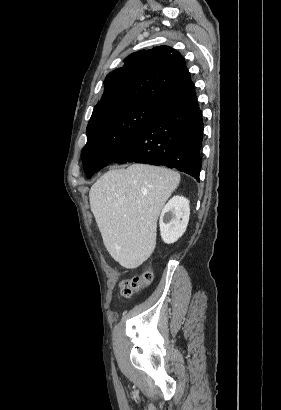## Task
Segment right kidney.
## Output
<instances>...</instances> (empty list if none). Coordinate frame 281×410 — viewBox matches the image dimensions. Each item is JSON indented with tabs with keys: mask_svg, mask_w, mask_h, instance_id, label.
<instances>
[{
	"mask_svg": "<svg viewBox=\"0 0 281 410\" xmlns=\"http://www.w3.org/2000/svg\"><path fill=\"white\" fill-rule=\"evenodd\" d=\"M190 215L189 200L183 196H174L164 206L159 220L162 240L171 244L185 232Z\"/></svg>",
	"mask_w": 281,
	"mask_h": 410,
	"instance_id": "obj_1",
	"label": "right kidney"
}]
</instances>
